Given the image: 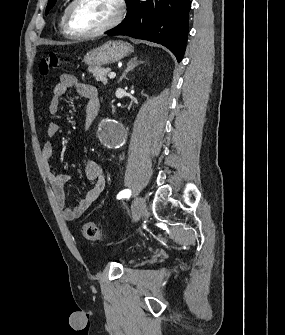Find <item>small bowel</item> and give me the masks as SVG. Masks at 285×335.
Segmentation results:
<instances>
[{
	"mask_svg": "<svg viewBox=\"0 0 285 335\" xmlns=\"http://www.w3.org/2000/svg\"><path fill=\"white\" fill-rule=\"evenodd\" d=\"M69 89H75L78 95L87 101L84 126L85 129H88L93 121L89 117V110L93 105L99 103L98 93L94 86L81 83L71 74H62L60 81L54 86L49 103V112L51 115H56L59 112L60 101ZM59 128V124L56 121H51L47 126V135L49 137L56 136ZM42 155L46 164L47 177L63 218L66 221L78 219L99 198L105 187L106 180L103 166L96 161H90L85 165V175L88 180L93 182V186L75 207H68L65 196L67 178L63 173L56 172L52 167L54 146L51 142L44 144Z\"/></svg>",
	"mask_w": 285,
	"mask_h": 335,
	"instance_id": "1",
	"label": "small bowel"
}]
</instances>
